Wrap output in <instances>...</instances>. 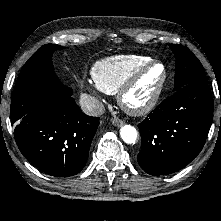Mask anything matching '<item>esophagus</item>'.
<instances>
[{"instance_id": "1", "label": "esophagus", "mask_w": 221, "mask_h": 221, "mask_svg": "<svg viewBox=\"0 0 221 221\" xmlns=\"http://www.w3.org/2000/svg\"><path fill=\"white\" fill-rule=\"evenodd\" d=\"M112 124L114 126H122L123 125V121L121 119L114 118V119H112Z\"/></svg>"}]
</instances>
